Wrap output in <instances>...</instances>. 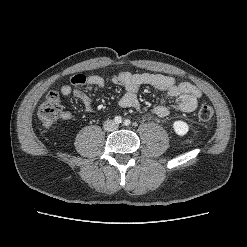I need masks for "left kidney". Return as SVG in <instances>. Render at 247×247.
<instances>
[{"mask_svg": "<svg viewBox=\"0 0 247 247\" xmlns=\"http://www.w3.org/2000/svg\"><path fill=\"white\" fill-rule=\"evenodd\" d=\"M173 129L177 135L183 137L187 134L189 126L186 122L178 120L173 123Z\"/></svg>", "mask_w": 247, "mask_h": 247, "instance_id": "left-kidney-1", "label": "left kidney"}]
</instances>
